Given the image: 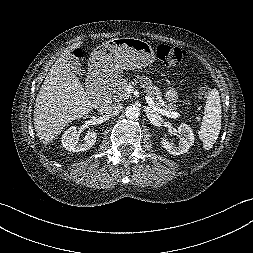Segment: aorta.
Wrapping results in <instances>:
<instances>
[{
  "label": "aorta",
  "instance_id": "762f6f07",
  "mask_svg": "<svg viewBox=\"0 0 253 253\" xmlns=\"http://www.w3.org/2000/svg\"><path fill=\"white\" fill-rule=\"evenodd\" d=\"M126 117L130 119L137 118L140 114V109L136 105H129L126 108Z\"/></svg>",
  "mask_w": 253,
  "mask_h": 253
}]
</instances>
